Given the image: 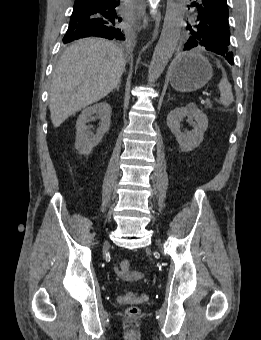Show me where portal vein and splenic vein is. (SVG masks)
Masks as SVG:
<instances>
[{
  "instance_id": "18ae733b",
  "label": "portal vein and splenic vein",
  "mask_w": 261,
  "mask_h": 340,
  "mask_svg": "<svg viewBox=\"0 0 261 340\" xmlns=\"http://www.w3.org/2000/svg\"><path fill=\"white\" fill-rule=\"evenodd\" d=\"M205 95H206L207 97H210V96H211V93L206 92Z\"/></svg>"
}]
</instances>
